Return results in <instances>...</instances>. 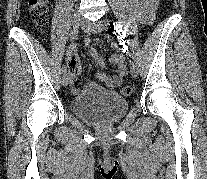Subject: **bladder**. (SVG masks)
<instances>
[{"label":"bladder","instance_id":"31cf9c89","mask_svg":"<svg viewBox=\"0 0 207 179\" xmlns=\"http://www.w3.org/2000/svg\"><path fill=\"white\" fill-rule=\"evenodd\" d=\"M70 107L83 121L102 125L120 120L126 114L129 102L116 92L87 83L71 99Z\"/></svg>","mask_w":207,"mask_h":179}]
</instances>
